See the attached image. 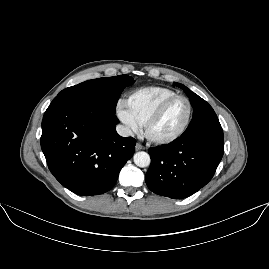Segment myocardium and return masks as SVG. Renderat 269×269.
Listing matches in <instances>:
<instances>
[{
  "instance_id": "obj_1",
  "label": "myocardium",
  "mask_w": 269,
  "mask_h": 269,
  "mask_svg": "<svg viewBox=\"0 0 269 269\" xmlns=\"http://www.w3.org/2000/svg\"><path fill=\"white\" fill-rule=\"evenodd\" d=\"M180 99L186 101L187 106H188L186 120H185L183 126L181 127V129L176 134H174L173 136L168 137V138L156 139V138L152 137L150 134V129H151L152 125L162 116V114L166 111V109L172 103H174L175 101L180 100ZM191 117H192V104L187 97L182 96V95H177V96H174L172 98H169L166 101H164L163 103H161L147 117V119L144 123V136L150 143L157 145V146H165V145L172 144V143L176 142L178 139H180L185 134V132L187 131V129L190 125Z\"/></svg>"
}]
</instances>
